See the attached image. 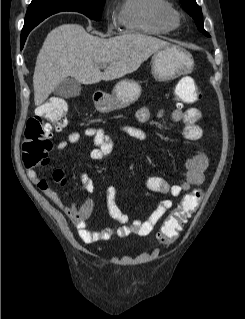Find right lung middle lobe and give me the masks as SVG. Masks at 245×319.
I'll return each instance as SVG.
<instances>
[{
  "mask_svg": "<svg viewBox=\"0 0 245 319\" xmlns=\"http://www.w3.org/2000/svg\"><path fill=\"white\" fill-rule=\"evenodd\" d=\"M104 2L105 0H66L62 5L57 6L65 7V11L80 12L93 20H100ZM43 4L47 5L48 2H43ZM28 12L29 8L27 10V13Z\"/></svg>",
  "mask_w": 245,
  "mask_h": 319,
  "instance_id": "obj_1",
  "label": "right lung middle lobe"
}]
</instances>
